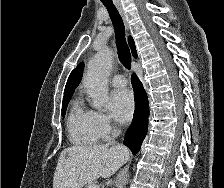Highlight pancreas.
I'll return each mask as SVG.
<instances>
[{"label": "pancreas", "instance_id": "cf45deb5", "mask_svg": "<svg viewBox=\"0 0 224 188\" xmlns=\"http://www.w3.org/2000/svg\"><path fill=\"white\" fill-rule=\"evenodd\" d=\"M92 185H94V183H89L88 185L85 186V188H91Z\"/></svg>", "mask_w": 224, "mask_h": 188}]
</instances>
